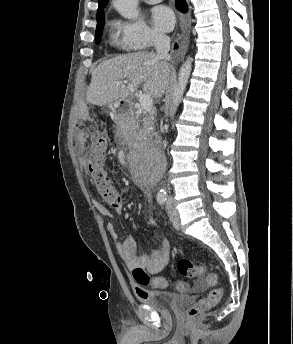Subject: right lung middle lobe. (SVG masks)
I'll use <instances>...</instances> for the list:
<instances>
[{
	"instance_id": "right-lung-middle-lobe-1",
	"label": "right lung middle lobe",
	"mask_w": 293,
	"mask_h": 344,
	"mask_svg": "<svg viewBox=\"0 0 293 344\" xmlns=\"http://www.w3.org/2000/svg\"><path fill=\"white\" fill-rule=\"evenodd\" d=\"M105 23V18H104V12H102L98 17H97V26H96V32H95V40L96 43L100 42L103 27Z\"/></svg>"
}]
</instances>
